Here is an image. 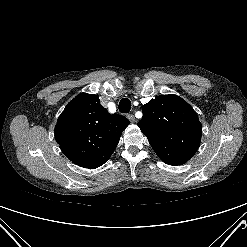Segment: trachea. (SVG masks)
I'll list each match as a JSON object with an SVG mask.
<instances>
[{
    "label": "trachea",
    "mask_w": 247,
    "mask_h": 247,
    "mask_svg": "<svg viewBox=\"0 0 247 247\" xmlns=\"http://www.w3.org/2000/svg\"><path fill=\"white\" fill-rule=\"evenodd\" d=\"M131 109V102L129 99L127 98H123L120 102H119V111L121 113H129Z\"/></svg>",
    "instance_id": "1"
}]
</instances>
